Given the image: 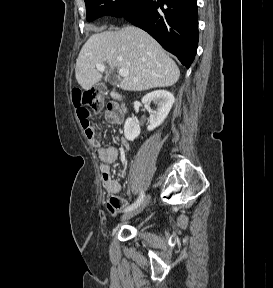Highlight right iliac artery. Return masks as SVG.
I'll return each mask as SVG.
<instances>
[{
	"instance_id": "right-iliac-artery-1",
	"label": "right iliac artery",
	"mask_w": 273,
	"mask_h": 288,
	"mask_svg": "<svg viewBox=\"0 0 273 288\" xmlns=\"http://www.w3.org/2000/svg\"><path fill=\"white\" fill-rule=\"evenodd\" d=\"M144 197H145V193L144 191H141L138 199L132 204L130 205L129 207H127L125 209V212H128V211H131L133 210L134 208H136L137 206H139L141 204V202L144 200Z\"/></svg>"
}]
</instances>
